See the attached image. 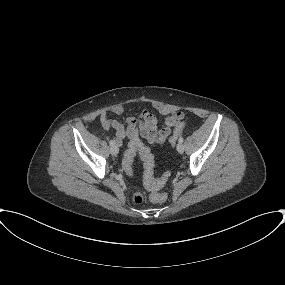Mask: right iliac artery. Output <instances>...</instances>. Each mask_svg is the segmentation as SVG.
Segmentation results:
<instances>
[{
  "instance_id": "82829eb1",
  "label": "right iliac artery",
  "mask_w": 285,
  "mask_h": 285,
  "mask_svg": "<svg viewBox=\"0 0 285 285\" xmlns=\"http://www.w3.org/2000/svg\"><path fill=\"white\" fill-rule=\"evenodd\" d=\"M110 146H113L115 144V142L113 140L109 141Z\"/></svg>"
}]
</instances>
